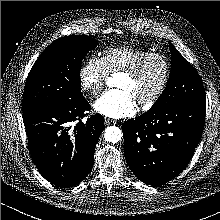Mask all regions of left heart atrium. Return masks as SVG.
<instances>
[{
	"instance_id": "left-heart-atrium-1",
	"label": "left heart atrium",
	"mask_w": 220,
	"mask_h": 220,
	"mask_svg": "<svg viewBox=\"0 0 220 220\" xmlns=\"http://www.w3.org/2000/svg\"><path fill=\"white\" fill-rule=\"evenodd\" d=\"M93 108L109 118H124L135 114L137 101L129 90L112 89L99 97L94 102Z\"/></svg>"
}]
</instances>
